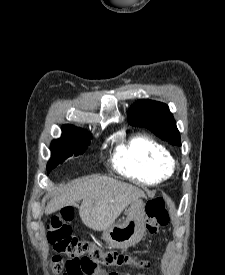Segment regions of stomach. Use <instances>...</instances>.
<instances>
[{
    "label": "stomach",
    "instance_id": "0dacf381",
    "mask_svg": "<svg viewBox=\"0 0 225 275\" xmlns=\"http://www.w3.org/2000/svg\"><path fill=\"white\" fill-rule=\"evenodd\" d=\"M146 204L139 198L127 210L125 220L113 223L102 233V239L112 248L124 249L137 244L145 233Z\"/></svg>",
    "mask_w": 225,
    "mask_h": 275
}]
</instances>
